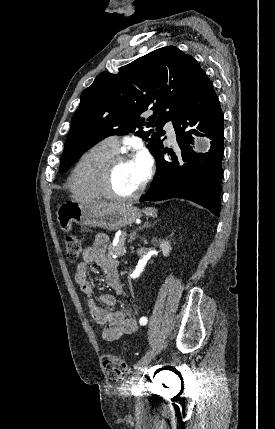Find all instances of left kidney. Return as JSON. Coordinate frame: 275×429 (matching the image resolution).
<instances>
[{
  "mask_svg": "<svg viewBox=\"0 0 275 429\" xmlns=\"http://www.w3.org/2000/svg\"><path fill=\"white\" fill-rule=\"evenodd\" d=\"M154 242L155 243H157L158 245H159V248L161 249V251L163 252V255L165 256V257H168L169 256V254H170V252H171V250H172V247H171V245H170V242L169 241H167V240H157V239H154Z\"/></svg>",
  "mask_w": 275,
  "mask_h": 429,
  "instance_id": "obj_1",
  "label": "left kidney"
}]
</instances>
